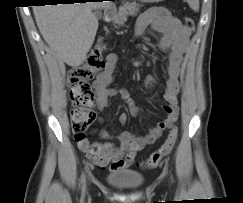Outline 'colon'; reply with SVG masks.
I'll return each mask as SVG.
<instances>
[{
	"mask_svg": "<svg viewBox=\"0 0 243 203\" xmlns=\"http://www.w3.org/2000/svg\"><path fill=\"white\" fill-rule=\"evenodd\" d=\"M185 27L189 32L194 30V21L184 17ZM105 44L100 41L89 53L87 60L80 66L73 67L68 72L69 95L72 104L70 112L71 129L77 143L87 140V132L96 118L92 109L95 103V92L91 81L95 74L105 67L103 52ZM177 140V129L172 128L165 142L156 149L139 166L144 169L155 168L174 148Z\"/></svg>",
	"mask_w": 243,
	"mask_h": 203,
	"instance_id": "1",
	"label": "colon"
}]
</instances>
